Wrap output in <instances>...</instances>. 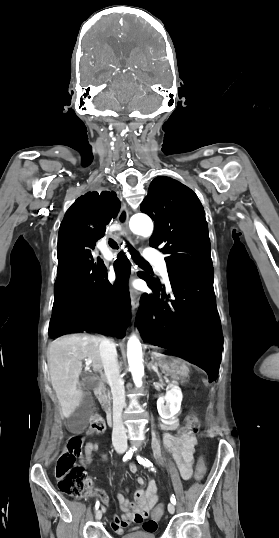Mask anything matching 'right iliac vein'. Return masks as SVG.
Wrapping results in <instances>:
<instances>
[{
  "label": "right iliac vein",
  "instance_id": "obj_1",
  "mask_svg": "<svg viewBox=\"0 0 279 538\" xmlns=\"http://www.w3.org/2000/svg\"><path fill=\"white\" fill-rule=\"evenodd\" d=\"M95 517H96L97 520H100V519H101V517H102V512H101V510H97V511H96V515H95Z\"/></svg>",
  "mask_w": 279,
  "mask_h": 538
}]
</instances>
